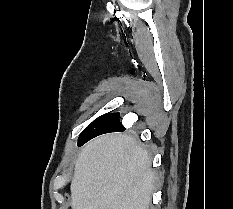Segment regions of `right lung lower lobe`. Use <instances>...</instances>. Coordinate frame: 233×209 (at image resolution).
Wrapping results in <instances>:
<instances>
[{
	"instance_id": "1",
	"label": "right lung lower lobe",
	"mask_w": 233,
	"mask_h": 209,
	"mask_svg": "<svg viewBox=\"0 0 233 209\" xmlns=\"http://www.w3.org/2000/svg\"><path fill=\"white\" fill-rule=\"evenodd\" d=\"M125 128L123 126H116V127H112V128H106V129H103V130H100V131H97L93 134H91L89 137H86L82 140H80L78 142V145L81 146L83 145L84 143H86L87 141H89L90 139L98 136V135H101V134H104V133H109V132H122L124 131Z\"/></svg>"
}]
</instances>
